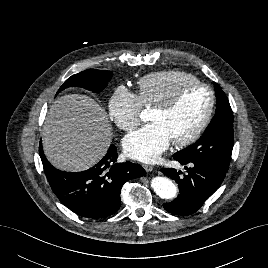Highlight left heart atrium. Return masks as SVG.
Returning a JSON list of instances; mask_svg holds the SVG:
<instances>
[{
	"instance_id": "obj_1",
	"label": "left heart atrium",
	"mask_w": 268,
	"mask_h": 268,
	"mask_svg": "<svg viewBox=\"0 0 268 268\" xmlns=\"http://www.w3.org/2000/svg\"><path fill=\"white\" fill-rule=\"evenodd\" d=\"M170 141L162 125L153 122L130 132L124 138L123 148L129 158L151 163L168 148Z\"/></svg>"
}]
</instances>
